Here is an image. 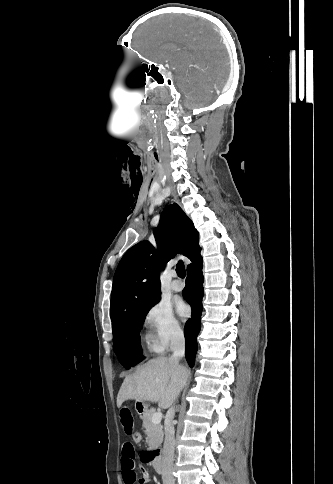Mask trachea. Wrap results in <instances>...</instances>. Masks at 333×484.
<instances>
[{"label":"trachea","instance_id":"trachea-1","mask_svg":"<svg viewBox=\"0 0 333 484\" xmlns=\"http://www.w3.org/2000/svg\"><path fill=\"white\" fill-rule=\"evenodd\" d=\"M176 272H177V275L180 277V278H184L186 276V271H185V266H184V263L183 261H179L176 265Z\"/></svg>","mask_w":333,"mask_h":484}]
</instances>
